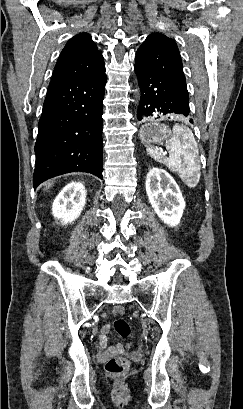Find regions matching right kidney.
<instances>
[{
    "label": "right kidney",
    "mask_w": 243,
    "mask_h": 409,
    "mask_svg": "<svg viewBox=\"0 0 243 409\" xmlns=\"http://www.w3.org/2000/svg\"><path fill=\"white\" fill-rule=\"evenodd\" d=\"M85 186L80 182L67 184L55 198L52 213L61 219L62 224H68L77 219L86 203Z\"/></svg>",
    "instance_id": "ca27d5eb"
}]
</instances>
